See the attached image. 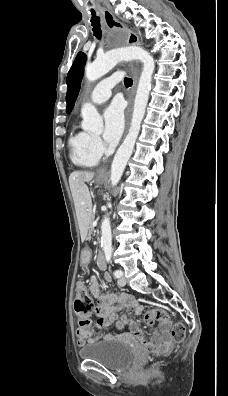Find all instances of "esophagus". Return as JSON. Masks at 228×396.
<instances>
[{"label":"esophagus","instance_id":"esophagus-1","mask_svg":"<svg viewBox=\"0 0 228 396\" xmlns=\"http://www.w3.org/2000/svg\"><path fill=\"white\" fill-rule=\"evenodd\" d=\"M99 13L102 17V20L105 24L106 28H110L112 25L116 24L118 21L115 18V16L113 15V13L106 9V8H101L99 9ZM132 43L136 44L138 43V37L137 36H133L132 37ZM138 77H139V71L137 68L133 69V87L130 91L129 94V106L127 109V126L129 125L130 122V116H131V112H132V108H133V99H134V95H135V90L137 87V83H138ZM99 174H105L107 173V167H102L99 169L98 171Z\"/></svg>","mask_w":228,"mask_h":396}]
</instances>
